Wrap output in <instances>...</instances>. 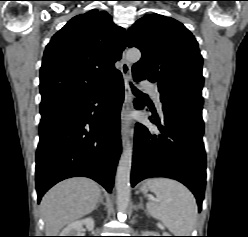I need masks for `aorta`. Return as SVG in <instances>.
Returning <instances> with one entry per match:
<instances>
[{
    "label": "aorta",
    "mask_w": 248,
    "mask_h": 237,
    "mask_svg": "<svg viewBox=\"0 0 248 237\" xmlns=\"http://www.w3.org/2000/svg\"><path fill=\"white\" fill-rule=\"evenodd\" d=\"M141 58L138 49H130L126 53V59L130 63H136ZM133 145L128 142L121 154L116 173L117 207L120 215L125 214L130 202V175L132 166Z\"/></svg>",
    "instance_id": "762f6f07"
}]
</instances>
